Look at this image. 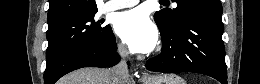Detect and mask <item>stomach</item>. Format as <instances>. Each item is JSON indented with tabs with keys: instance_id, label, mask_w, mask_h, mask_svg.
Instances as JSON below:
<instances>
[{
	"instance_id": "1",
	"label": "stomach",
	"mask_w": 260,
	"mask_h": 84,
	"mask_svg": "<svg viewBox=\"0 0 260 84\" xmlns=\"http://www.w3.org/2000/svg\"><path fill=\"white\" fill-rule=\"evenodd\" d=\"M146 84H186V82L176 74H161L152 77Z\"/></svg>"
}]
</instances>
